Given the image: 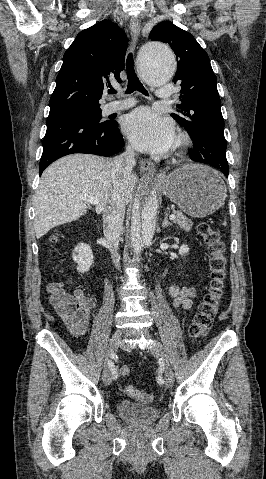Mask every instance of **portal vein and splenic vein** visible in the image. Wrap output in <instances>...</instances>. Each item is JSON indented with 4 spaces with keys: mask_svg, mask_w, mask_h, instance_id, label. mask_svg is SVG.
I'll return each mask as SVG.
<instances>
[{
    "mask_svg": "<svg viewBox=\"0 0 266 479\" xmlns=\"http://www.w3.org/2000/svg\"><path fill=\"white\" fill-rule=\"evenodd\" d=\"M80 198L93 205H97L99 203V199L93 196L81 195ZM175 218L176 216L174 214L169 215L170 220H174Z\"/></svg>",
    "mask_w": 266,
    "mask_h": 479,
    "instance_id": "portal-vein-and-splenic-vein-1",
    "label": "portal vein and splenic vein"
}]
</instances>
